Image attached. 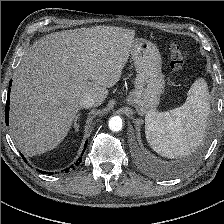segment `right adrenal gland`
Wrapping results in <instances>:
<instances>
[{"label": "right adrenal gland", "mask_w": 224, "mask_h": 224, "mask_svg": "<svg viewBox=\"0 0 224 224\" xmlns=\"http://www.w3.org/2000/svg\"><path fill=\"white\" fill-rule=\"evenodd\" d=\"M80 115H81V113H78L75 120H74V128H75L76 131L79 130V124L77 123V121H78Z\"/></svg>", "instance_id": "1"}]
</instances>
